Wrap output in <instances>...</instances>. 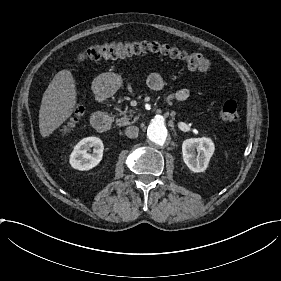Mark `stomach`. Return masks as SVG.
I'll return each instance as SVG.
<instances>
[{"label": "stomach", "instance_id": "0dacf381", "mask_svg": "<svg viewBox=\"0 0 281 281\" xmlns=\"http://www.w3.org/2000/svg\"><path fill=\"white\" fill-rule=\"evenodd\" d=\"M97 83V92L100 95L110 96L114 94L122 85V79L119 75L107 72L100 74L94 81Z\"/></svg>", "mask_w": 281, "mask_h": 281}]
</instances>
